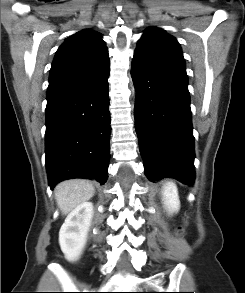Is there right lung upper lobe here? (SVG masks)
Returning <instances> with one entry per match:
<instances>
[{
    "mask_svg": "<svg viewBox=\"0 0 245 293\" xmlns=\"http://www.w3.org/2000/svg\"><path fill=\"white\" fill-rule=\"evenodd\" d=\"M109 71L108 49L101 35L85 29L67 38L52 63L47 101L61 97Z\"/></svg>",
    "mask_w": 245,
    "mask_h": 293,
    "instance_id": "right-lung-upper-lobe-1",
    "label": "right lung upper lobe"
}]
</instances>
